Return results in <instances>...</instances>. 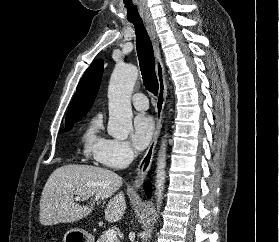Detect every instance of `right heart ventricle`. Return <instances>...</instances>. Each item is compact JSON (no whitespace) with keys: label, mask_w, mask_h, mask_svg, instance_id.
<instances>
[{"label":"right heart ventricle","mask_w":279,"mask_h":242,"mask_svg":"<svg viewBox=\"0 0 279 242\" xmlns=\"http://www.w3.org/2000/svg\"><path fill=\"white\" fill-rule=\"evenodd\" d=\"M102 117L94 116L82 135V148L86 157H94L104 148L108 139L101 133Z\"/></svg>","instance_id":"right-heart-ventricle-1"}]
</instances>
